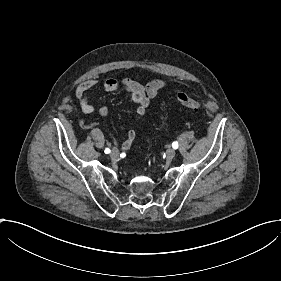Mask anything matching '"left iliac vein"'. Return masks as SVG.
I'll return each instance as SVG.
<instances>
[{"label": "left iliac vein", "instance_id": "obj_1", "mask_svg": "<svg viewBox=\"0 0 281 281\" xmlns=\"http://www.w3.org/2000/svg\"><path fill=\"white\" fill-rule=\"evenodd\" d=\"M165 153H166V157H168L170 159L173 158L175 156V154H176L175 150L172 149V148L166 150Z\"/></svg>", "mask_w": 281, "mask_h": 281}]
</instances>
